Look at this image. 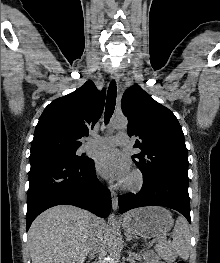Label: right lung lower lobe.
I'll list each match as a JSON object with an SVG mask.
<instances>
[{"instance_id":"right-lung-lower-lobe-1","label":"right lung lower lobe","mask_w":220,"mask_h":263,"mask_svg":"<svg viewBox=\"0 0 220 263\" xmlns=\"http://www.w3.org/2000/svg\"><path fill=\"white\" fill-rule=\"evenodd\" d=\"M26 230L33 220L55 205H74L106 218L111 194L97 179L94 160L65 161L42 153L30 155Z\"/></svg>"}]
</instances>
